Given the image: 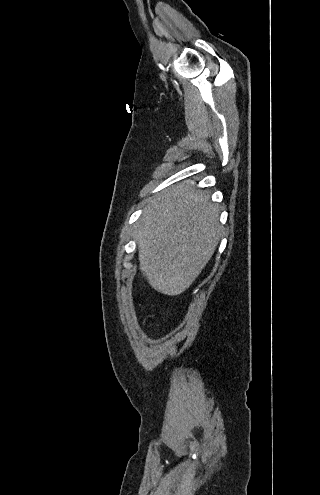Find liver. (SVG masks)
Here are the masks:
<instances>
[{
  "label": "liver",
  "mask_w": 320,
  "mask_h": 495,
  "mask_svg": "<svg viewBox=\"0 0 320 495\" xmlns=\"http://www.w3.org/2000/svg\"><path fill=\"white\" fill-rule=\"evenodd\" d=\"M221 236L219 211L209 196L184 182L153 200L134 236L141 271L158 292L175 296L198 277Z\"/></svg>",
  "instance_id": "6515ba94"
}]
</instances>
